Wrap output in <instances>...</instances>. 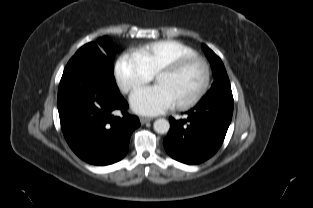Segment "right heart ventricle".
I'll list each match as a JSON object with an SVG mask.
<instances>
[{
  "label": "right heart ventricle",
  "mask_w": 313,
  "mask_h": 208,
  "mask_svg": "<svg viewBox=\"0 0 313 208\" xmlns=\"http://www.w3.org/2000/svg\"><path fill=\"white\" fill-rule=\"evenodd\" d=\"M135 54L152 75L178 58L197 55L193 48L177 40L152 42L136 49Z\"/></svg>",
  "instance_id": "right-heart-ventricle-1"
}]
</instances>
